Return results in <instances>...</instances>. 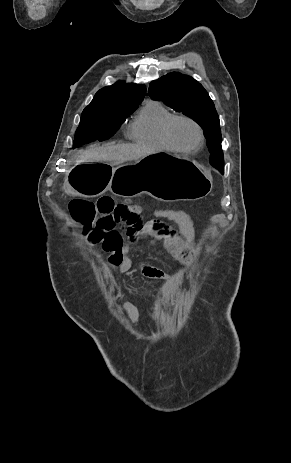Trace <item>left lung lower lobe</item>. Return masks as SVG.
<instances>
[{
    "label": "left lung lower lobe",
    "instance_id": "left-lung-lower-lobe-1",
    "mask_svg": "<svg viewBox=\"0 0 291 463\" xmlns=\"http://www.w3.org/2000/svg\"><path fill=\"white\" fill-rule=\"evenodd\" d=\"M220 172L223 174V173H224V170H220Z\"/></svg>",
    "mask_w": 291,
    "mask_h": 463
}]
</instances>
